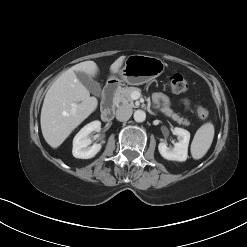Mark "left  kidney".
I'll list each match as a JSON object with an SVG mask.
<instances>
[{
  "label": "left kidney",
  "mask_w": 247,
  "mask_h": 247,
  "mask_svg": "<svg viewBox=\"0 0 247 247\" xmlns=\"http://www.w3.org/2000/svg\"><path fill=\"white\" fill-rule=\"evenodd\" d=\"M172 133L177 136L178 142L174 144L173 148L167 147L166 143H159L158 150L161 156L171 161H186L188 157V145L190 140V133L182 128H174Z\"/></svg>",
  "instance_id": "left-kidney-1"
}]
</instances>
